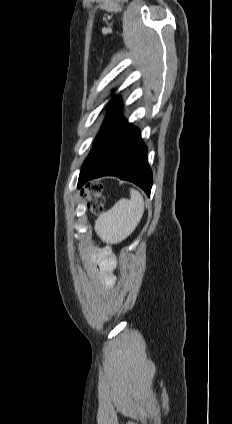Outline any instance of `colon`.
Here are the masks:
<instances>
[{"instance_id": "1", "label": "colon", "mask_w": 232, "mask_h": 424, "mask_svg": "<svg viewBox=\"0 0 232 424\" xmlns=\"http://www.w3.org/2000/svg\"><path fill=\"white\" fill-rule=\"evenodd\" d=\"M103 187L100 183L89 184L82 192V198L84 199L88 210L93 215L100 214L104 209V197Z\"/></svg>"}]
</instances>
